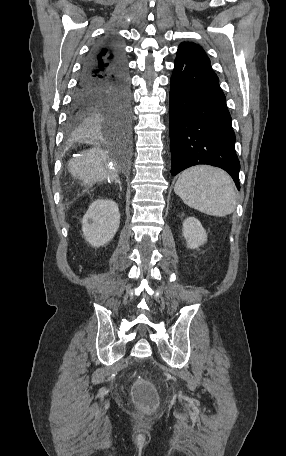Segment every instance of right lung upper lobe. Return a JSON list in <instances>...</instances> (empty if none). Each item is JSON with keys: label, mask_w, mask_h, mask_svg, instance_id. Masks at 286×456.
I'll return each mask as SVG.
<instances>
[{"label": "right lung upper lobe", "mask_w": 286, "mask_h": 456, "mask_svg": "<svg viewBox=\"0 0 286 456\" xmlns=\"http://www.w3.org/2000/svg\"><path fill=\"white\" fill-rule=\"evenodd\" d=\"M96 59L99 70L109 66V64H123L119 48L112 42L106 41L96 49Z\"/></svg>", "instance_id": "right-lung-upper-lobe-1"}]
</instances>
